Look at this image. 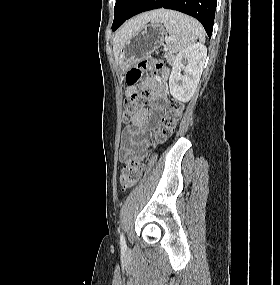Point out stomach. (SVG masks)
<instances>
[{
	"label": "stomach",
	"instance_id": "stomach-1",
	"mask_svg": "<svg viewBox=\"0 0 280 285\" xmlns=\"http://www.w3.org/2000/svg\"><path fill=\"white\" fill-rule=\"evenodd\" d=\"M164 37L165 29L159 22L142 26L123 42L118 57L120 70L125 72L134 63L145 59L162 45Z\"/></svg>",
	"mask_w": 280,
	"mask_h": 285
}]
</instances>
